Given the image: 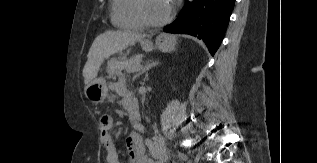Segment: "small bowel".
Instances as JSON below:
<instances>
[{"instance_id": "small-bowel-1", "label": "small bowel", "mask_w": 317, "mask_h": 163, "mask_svg": "<svg viewBox=\"0 0 317 163\" xmlns=\"http://www.w3.org/2000/svg\"><path fill=\"white\" fill-rule=\"evenodd\" d=\"M115 91L122 97V105L128 111L129 116L131 114H139L137 99L123 85L118 84ZM132 123L134 124L136 132L130 134L126 139L129 163H160L158 160L147 157V152L154 157L158 156V149L152 141H144L142 139L140 132L143 130V127L141 124L133 121ZM112 128L113 120L111 117L105 116L100 119L101 146L106 153L105 160L107 163H120L116 145L111 135ZM161 156L162 154H160V159ZM160 161L163 162V160Z\"/></svg>"}]
</instances>
